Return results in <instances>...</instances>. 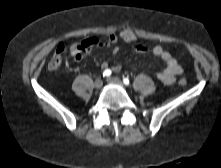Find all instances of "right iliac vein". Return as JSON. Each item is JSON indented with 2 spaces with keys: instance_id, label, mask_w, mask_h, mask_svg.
Listing matches in <instances>:
<instances>
[{
  "instance_id": "1",
  "label": "right iliac vein",
  "mask_w": 221,
  "mask_h": 168,
  "mask_svg": "<svg viewBox=\"0 0 221 168\" xmlns=\"http://www.w3.org/2000/svg\"><path fill=\"white\" fill-rule=\"evenodd\" d=\"M102 85H103V82H102L101 79H97V80L94 82V87H95L96 89H100V88L102 87Z\"/></svg>"
}]
</instances>
